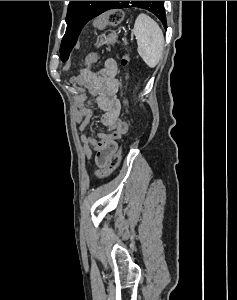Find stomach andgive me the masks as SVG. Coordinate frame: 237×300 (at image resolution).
<instances>
[{
	"instance_id": "stomach-1",
	"label": "stomach",
	"mask_w": 237,
	"mask_h": 300,
	"mask_svg": "<svg viewBox=\"0 0 237 300\" xmlns=\"http://www.w3.org/2000/svg\"><path fill=\"white\" fill-rule=\"evenodd\" d=\"M117 39V33H115V31H111L109 35H102V37H99L97 47H101V45H114V43H117Z\"/></svg>"
}]
</instances>
